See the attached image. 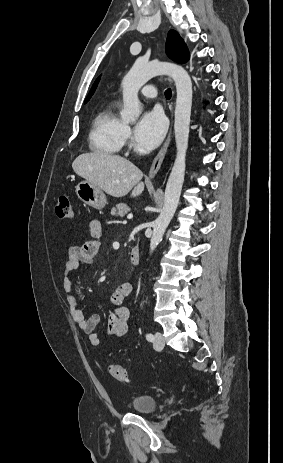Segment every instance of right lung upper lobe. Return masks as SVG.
I'll use <instances>...</instances> for the list:
<instances>
[{
  "mask_svg": "<svg viewBox=\"0 0 283 463\" xmlns=\"http://www.w3.org/2000/svg\"><path fill=\"white\" fill-rule=\"evenodd\" d=\"M99 80H100V77H98V79H97V80L95 81V83L93 84V86H92V88H91V90H90V92H89V94H88V96H87L85 102H87V101L91 98V96L93 95V93L95 92Z\"/></svg>",
  "mask_w": 283,
  "mask_h": 463,
  "instance_id": "obj_1",
  "label": "right lung upper lobe"
}]
</instances>
